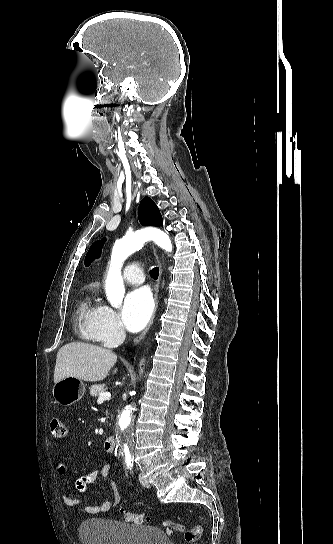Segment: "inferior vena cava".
Masks as SVG:
<instances>
[{"instance_id":"1","label":"inferior vena cava","mask_w":333,"mask_h":544,"mask_svg":"<svg viewBox=\"0 0 333 544\" xmlns=\"http://www.w3.org/2000/svg\"><path fill=\"white\" fill-rule=\"evenodd\" d=\"M125 338V333L122 331L121 332V339L123 340Z\"/></svg>"}]
</instances>
